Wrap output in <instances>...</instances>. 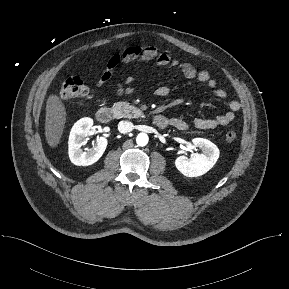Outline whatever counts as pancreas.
Segmentation results:
<instances>
[{"label":"pancreas","instance_id":"1","mask_svg":"<svg viewBox=\"0 0 289 289\" xmlns=\"http://www.w3.org/2000/svg\"><path fill=\"white\" fill-rule=\"evenodd\" d=\"M114 111L117 117L137 118L142 116V111L127 102H117L114 104Z\"/></svg>","mask_w":289,"mask_h":289}]
</instances>
